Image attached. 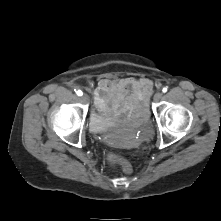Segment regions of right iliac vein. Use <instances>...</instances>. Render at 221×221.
I'll use <instances>...</instances> for the list:
<instances>
[{"mask_svg":"<svg viewBox=\"0 0 221 221\" xmlns=\"http://www.w3.org/2000/svg\"><path fill=\"white\" fill-rule=\"evenodd\" d=\"M81 99H82V101L84 103H88L89 102V96L87 94L82 95Z\"/></svg>","mask_w":221,"mask_h":221,"instance_id":"63e3f726","label":"right iliac vein"}]
</instances>
